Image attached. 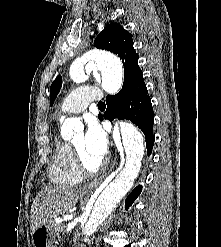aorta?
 I'll use <instances>...</instances> for the list:
<instances>
[{"mask_svg":"<svg viewBox=\"0 0 221 247\" xmlns=\"http://www.w3.org/2000/svg\"><path fill=\"white\" fill-rule=\"evenodd\" d=\"M91 70L101 75L109 93H116L121 88L122 65L117 57L98 50L90 52L71 65L70 75L73 79L80 80L85 72L88 73ZM80 128H82V123L79 119L67 118L62 125L61 134L70 138L73 135V131ZM120 129L126 161L119 174L104 188L97 198L85 225L88 235L97 230L98 226L129 192L141 168V161L144 155L142 134L133 124L128 122H121Z\"/></svg>","mask_w":221,"mask_h":247,"instance_id":"aorta-1","label":"aorta"}]
</instances>
